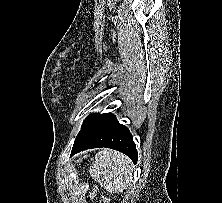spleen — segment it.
Masks as SVG:
<instances>
[{"label":"spleen","mask_w":222,"mask_h":203,"mask_svg":"<svg viewBox=\"0 0 222 203\" xmlns=\"http://www.w3.org/2000/svg\"><path fill=\"white\" fill-rule=\"evenodd\" d=\"M135 167L124 154L104 149L95 156L90 167V174L106 190L123 192L133 180Z\"/></svg>","instance_id":"spleen-1"}]
</instances>
